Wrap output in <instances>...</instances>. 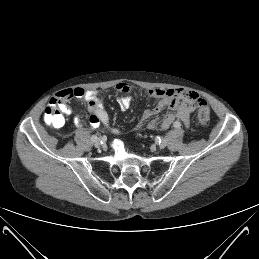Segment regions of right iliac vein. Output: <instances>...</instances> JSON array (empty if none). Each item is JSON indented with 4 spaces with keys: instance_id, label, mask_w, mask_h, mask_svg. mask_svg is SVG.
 Returning a JSON list of instances; mask_svg holds the SVG:
<instances>
[{
    "instance_id": "obj_1",
    "label": "right iliac vein",
    "mask_w": 259,
    "mask_h": 259,
    "mask_svg": "<svg viewBox=\"0 0 259 259\" xmlns=\"http://www.w3.org/2000/svg\"><path fill=\"white\" fill-rule=\"evenodd\" d=\"M93 143H94V146L95 147H100V146H102V142H101V140L100 139H96L95 141H93Z\"/></svg>"
}]
</instances>
